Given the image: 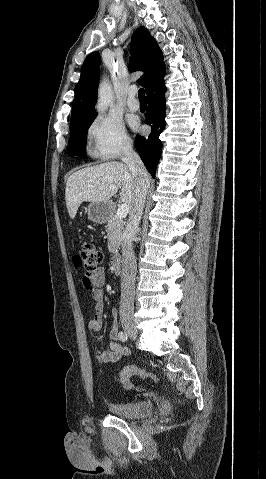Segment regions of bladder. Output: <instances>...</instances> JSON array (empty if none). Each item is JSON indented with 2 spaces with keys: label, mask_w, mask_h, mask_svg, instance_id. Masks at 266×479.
Segmentation results:
<instances>
[{
  "label": "bladder",
  "mask_w": 266,
  "mask_h": 479,
  "mask_svg": "<svg viewBox=\"0 0 266 479\" xmlns=\"http://www.w3.org/2000/svg\"><path fill=\"white\" fill-rule=\"evenodd\" d=\"M108 408L112 415L123 419H134L153 414V405L149 401L110 403Z\"/></svg>",
  "instance_id": "31cf9c89"
}]
</instances>
